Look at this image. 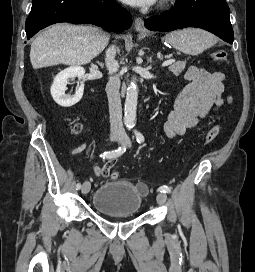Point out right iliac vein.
I'll list each match as a JSON object with an SVG mask.
<instances>
[{
    "instance_id": "1",
    "label": "right iliac vein",
    "mask_w": 255,
    "mask_h": 272,
    "mask_svg": "<svg viewBox=\"0 0 255 272\" xmlns=\"http://www.w3.org/2000/svg\"><path fill=\"white\" fill-rule=\"evenodd\" d=\"M110 140H111V141H118V142L121 143L122 137L119 136V135H116V134H112V135L110 136ZM90 188H91L90 182H89V181H85V182L83 183V185H82L81 191H82L83 194H87V193L90 191Z\"/></svg>"
}]
</instances>
